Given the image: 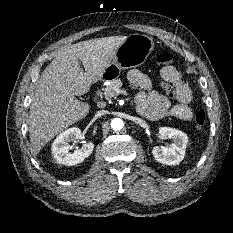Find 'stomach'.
Listing matches in <instances>:
<instances>
[{"instance_id": "1", "label": "stomach", "mask_w": 233, "mask_h": 233, "mask_svg": "<svg viewBox=\"0 0 233 233\" xmlns=\"http://www.w3.org/2000/svg\"><path fill=\"white\" fill-rule=\"evenodd\" d=\"M153 49L154 41L151 37L138 33L130 34L117 49L109 67L115 66L120 71L141 65Z\"/></svg>"}]
</instances>
